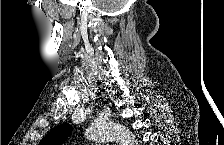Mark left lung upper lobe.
I'll return each mask as SVG.
<instances>
[{
  "label": "left lung upper lobe",
  "mask_w": 224,
  "mask_h": 145,
  "mask_svg": "<svg viewBox=\"0 0 224 145\" xmlns=\"http://www.w3.org/2000/svg\"><path fill=\"white\" fill-rule=\"evenodd\" d=\"M72 130L73 128L69 124L59 125L42 139L40 145H62Z\"/></svg>",
  "instance_id": "left-lung-upper-lobe-1"
}]
</instances>
